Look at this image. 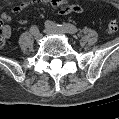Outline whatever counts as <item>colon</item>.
Instances as JSON below:
<instances>
[{
  "label": "colon",
  "mask_w": 119,
  "mask_h": 119,
  "mask_svg": "<svg viewBox=\"0 0 119 119\" xmlns=\"http://www.w3.org/2000/svg\"><path fill=\"white\" fill-rule=\"evenodd\" d=\"M118 30V24L116 19H111L107 24V31L110 34L116 33ZM5 34H4V26L0 25V44L4 42Z\"/></svg>",
  "instance_id": "5ec220e1"
}]
</instances>
